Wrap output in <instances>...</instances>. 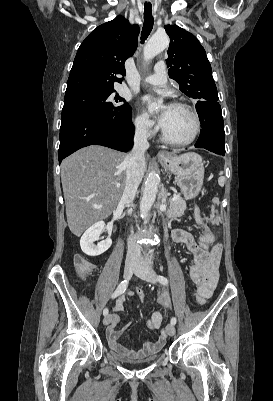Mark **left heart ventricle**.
Instances as JSON below:
<instances>
[{
	"mask_svg": "<svg viewBox=\"0 0 273 401\" xmlns=\"http://www.w3.org/2000/svg\"><path fill=\"white\" fill-rule=\"evenodd\" d=\"M162 127L172 138L185 140L193 135L195 122L185 110L171 107Z\"/></svg>",
	"mask_w": 273,
	"mask_h": 401,
	"instance_id": "left-heart-ventricle-1",
	"label": "left heart ventricle"
}]
</instances>
